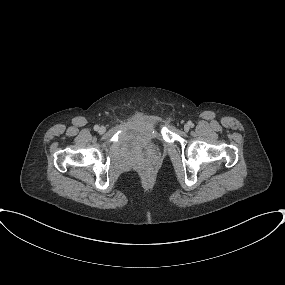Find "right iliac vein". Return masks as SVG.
Segmentation results:
<instances>
[{
	"mask_svg": "<svg viewBox=\"0 0 285 285\" xmlns=\"http://www.w3.org/2000/svg\"><path fill=\"white\" fill-rule=\"evenodd\" d=\"M105 131H106V128L104 126H101L99 128V133L103 134V133H105Z\"/></svg>",
	"mask_w": 285,
	"mask_h": 285,
	"instance_id": "1",
	"label": "right iliac vein"
}]
</instances>
